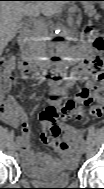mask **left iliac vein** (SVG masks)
Segmentation results:
<instances>
[{
  "mask_svg": "<svg viewBox=\"0 0 104 189\" xmlns=\"http://www.w3.org/2000/svg\"><path fill=\"white\" fill-rule=\"evenodd\" d=\"M79 151L81 154H84L86 152L85 146H82Z\"/></svg>",
  "mask_w": 104,
  "mask_h": 189,
  "instance_id": "obj_1",
  "label": "left iliac vein"
}]
</instances>
